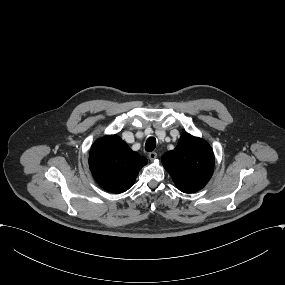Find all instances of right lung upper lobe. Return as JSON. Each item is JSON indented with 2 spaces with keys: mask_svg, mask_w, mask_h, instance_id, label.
<instances>
[{
  "mask_svg": "<svg viewBox=\"0 0 285 285\" xmlns=\"http://www.w3.org/2000/svg\"><path fill=\"white\" fill-rule=\"evenodd\" d=\"M147 159L117 135L97 140L90 150L89 165L96 182L105 190L122 193L135 182Z\"/></svg>",
  "mask_w": 285,
  "mask_h": 285,
  "instance_id": "1",
  "label": "right lung upper lobe"
}]
</instances>
